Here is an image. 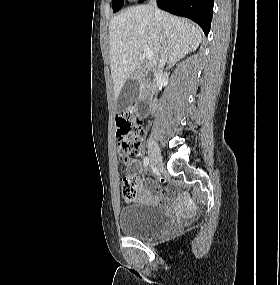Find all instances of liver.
<instances>
[{
    "instance_id": "1",
    "label": "liver",
    "mask_w": 280,
    "mask_h": 285,
    "mask_svg": "<svg viewBox=\"0 0 280 285\" xmlns=\"http://www.w3.org/2000/svg\"><path fill=\"white\" fill-rule=\"evenodd\" d=\"M201 40L199 27L186 19L156 11L150 5L130 7L113 17L109 23V44L115 99L137 68L143 45H148L154 53L146 65L152 70L163 52L168 53V63L172 66L196 50Z\"/></svg>"
}]
</instances>
